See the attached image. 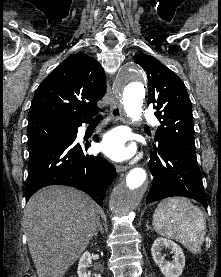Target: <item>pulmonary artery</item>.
I'll return each instance as SVG.
<instances>
[{"label":"pulmonary artery","instance_id":"obj_1","mask_svg":"<svg viewBox=\"0 0 221 277\" xmlns=\"http://www.w3.org/2000/svg\"><path fill=\"white\" fill-rule=\"evenodd\" d=\"M144 117L148 120V121H152L155 124L157 123V120L155 119L154 115L150 112V111H146L144 114Z\"/></svg>","mask_w":221,"mask_h":277}]
</instances>
